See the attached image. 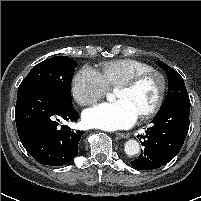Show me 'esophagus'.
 <instances>
[{
	"label": "esophagus",
	"mask_w": 201,
	"mask_h": 201,
	"mask_svg": "<svg viewBox=\"0 0 201 201\" xmlns=\"http://www.w3.org/2000/svg\"><path fill=\"white\" fill-rule=\"evenodd\" d=\"M117 136L120 138H129L130 134L129 133H117Z\"/></svg>",
	"instance_id": "obj_1"
}]
</instances>
